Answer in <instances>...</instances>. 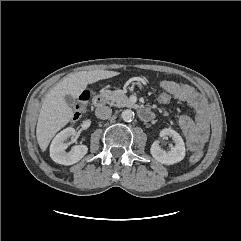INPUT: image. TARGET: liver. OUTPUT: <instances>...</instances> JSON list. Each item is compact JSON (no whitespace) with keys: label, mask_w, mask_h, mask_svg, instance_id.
Instances as JSON below:
<instances>
[{"label":"liver","mask_w":241,"mask_h":241,"mask_svg":"<svg viewBox=\"0 0 241 241\" xmlns=\"http://www.w3.org/2000/svg\"><path fill=\"white\" fill-rule=\"evenodd\" d=\"M108 70L80 71L64 77L45 97L36 127V137L42 151H45L54 137L73 116V111L64 96L77 98L88 84L119 75Z\"/></svg>","instance_id":"obj_1"}]
</instances>
